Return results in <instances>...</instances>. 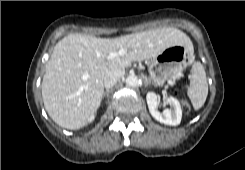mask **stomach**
Wrapping results in <instances>:
<instances>
[{
	"mask_svg": "<svg viewBox=\"0 0 245 170\" xmlns=\"http://www.w3.org/2000/svg\"><path fill=\"white\" fill-rule=\"evenodd\" d=\"M193 52L184 45L165 49L148 62L150 81L155 86H163L170 78L181 73L192 61Z\"/></svg>",
	"mask_w": 245,
	"mask_h": 170,
	"instance_id": "obj_1",
	"label": "stomach"
}]
</instances>
